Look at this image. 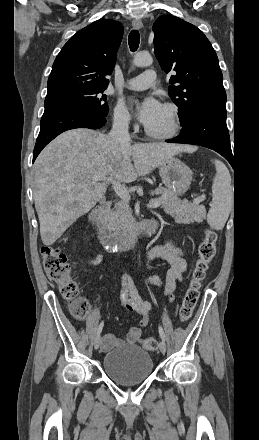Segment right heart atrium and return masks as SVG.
I'll use <instances>...</instances> for the list:
<instances>
[{
  "label": "right heart atrium",
  "mask_w": 259,
  "mask_h": 440,
  "mask_svg": "<svg viewBox=\"0 0 259 440\" xmlns=\"http://www.w3.org/2000/svg\"><path fill=\"white\" fill-rule=\"evenodd\" d=\"M132 117L127 107L118 102L113 110V124L119 129H128L131 126Z\"/></svg>",
  "instance_id": "d8ad5b80"
}]
</instances>
